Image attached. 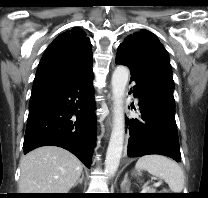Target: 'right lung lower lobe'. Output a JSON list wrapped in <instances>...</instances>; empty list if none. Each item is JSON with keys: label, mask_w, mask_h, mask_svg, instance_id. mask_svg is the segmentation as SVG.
I'll use <instances>...</instances> for the list:
<instances>
[{"label": "right lung lower lobe", "mask_w": 208, "mask_h": 198, "mask_svg": "<svg viewBox=\"0 0 208 198\" xmlns=\"http://www.w3.org/2000/svg\"><path fill=\"white\" fill-rule=\"evenodd\" d=\"M93 72L57 90L31 96L24 154L41 146H58L90 167L96 119Z\"/></svg>", "instance_id": "right-lung-lower-lobe-1"}]
</instances>
